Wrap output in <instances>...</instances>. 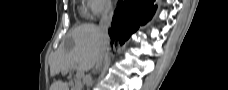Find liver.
<instances>
[{
	"label": "liver",
	"instance_id": "6515ba94",
	"mask_svg": "<svg viewBox=\"0 0 228 90\" xmlns=\"http://www.w3.org/2000/svg\"><path fill=\"white\" fill-rule=\"evenodd\" d=\"M70 37L74 47L66 51L64 46H60L54 53L50 62L51 76L60 72L66 74L76 66L82 71H87L96 64L101 49L99 27L90 23L82 24L70 33ZM50 90H69V85L67 82L58 80L53 82Z\"/></svg>",
	"mask_w": 228,
	"mask_h": 90
}]
</instances>
